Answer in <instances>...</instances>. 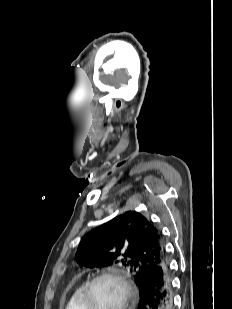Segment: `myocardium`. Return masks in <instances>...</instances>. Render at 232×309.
<instances>
[{"label":"myocardium","instance_id":"myocardium-1","mask_svg":"<svg viewBox=\"0 0 232 309\" xmlns=\"http://www.w3.org/2000/svg\"><path fill=\"white\" fill-rule=\"evenodd\" d=\"M106 278L115 280L122 287L123 298L118 309H128L133 297V288L126 276L116 269H109L99 272L86 282L82 295L84 309H94L91 303L92 288L97 281Z\"/></svg>","mask_w":232,"mask_h":309}]
</instances>
